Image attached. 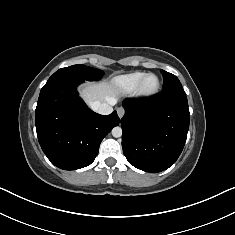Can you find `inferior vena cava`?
<instances>
[{"instance_id":"602c4592","label":"inferior vena cava","mask_w":235,"mask_h":235,"mask_svg":"<svg viewBox=\"0 0 235 235\" xmlns=\"http://www.w3.org/2000/svg\"><path fill=\"white\" fill-rule=\"evenodd\" d=\"M91 109L99 114H102V115H108V114L112 113V111H113L111 104L100 103L98 101H95L91 104Z\"/></svg>"}]
</instances>
